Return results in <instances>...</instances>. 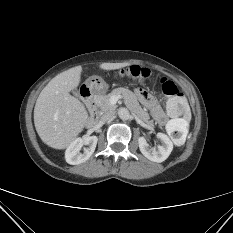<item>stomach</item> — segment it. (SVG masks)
<instances>
[{
	"instance_id": "stomach-1",
	"label": "stomach",
	"mask_w": 233,
	"mask_h": 233,
	"mask_svg": "<svg viewBox=\"0 0 233 233\" xmlns=\"http://www.w3.org/2000/svg\"><path fill=\"white\" fill-rule=\"evenodd\" d=\"M86 84L96 92H103L107 89L105 81L98 76H91L87 79Z\"/></svg>"
}]
</instances>
